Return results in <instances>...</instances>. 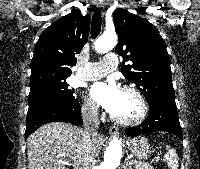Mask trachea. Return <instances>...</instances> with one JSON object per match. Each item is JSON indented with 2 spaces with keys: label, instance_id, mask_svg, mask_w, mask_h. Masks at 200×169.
<instances>
[{
  "label": "trachea",
  "instance_id": "obj_1",
  "mask_svg": "<svg viewBox=\"0 0 200 169\" xmlns=\"http://www.w3.org/2000/svg\"><path fill=\"white\" fill-rule=\"evenodd\" d=\"M101 25H102L101 12L99 9H96L94 11L91 23V37L93 39H95L99 35L101 31Z\"/></svg>",
  "mask_w": 200,
  "mask_h": 169
}]
</instances>
